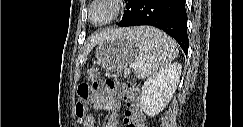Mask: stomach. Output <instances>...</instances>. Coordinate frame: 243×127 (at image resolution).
Returning <instances> with one entry per match:
<instances>
[{
    "label": "stomach",
    "instance_id": "0dacf381",
    "mask_svg": "<svg viewBox=\"0 0 243 127\" xmlns=\"http://www.w3.org/2000/svg\"><path fill=\"white\" fill-rule=\"evenodd\" d=\"M138 57V48L133 39L128 36L108 40L98 45L96 49V64L109 72L124 70L134 63ZM89 79L98 77V68L92 66L87 71Z\"/></svg>",
    "mask_w": 243,
    "mask_h": 127
}]
</instances>
